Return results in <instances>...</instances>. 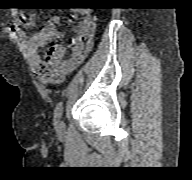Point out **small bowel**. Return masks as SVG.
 <instances>
[{"mask_svg": "<svg viewBox=\"0 0 192 180\" xmlns=\"http://www.w3.org/2000/svg\"><path fill=\"white\" fill-rule=\"evenodd\" d=\"M71 13L73 16H81V20L75 29V37L69 42V54L67 55L68 51L64 45H54L35 69L36 76L45 84L61 82L69 72L82 63L93 46L95 18L88 9L73 10ZM20 19L28 24L33 22L32 16L25 12L20 13ZM59 21V16L52 17L46 27L31 37V51L36 53L50 41L62 39V33L56 28Z\"/></svg>", "mask_w": 192, "mask_h": 180, "instance_id": "small-bowel-1", "label": "small bowel"}]
</instances>
